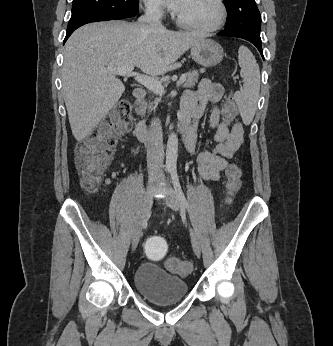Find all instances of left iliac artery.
Segmentation results:
<instances>
[{"instance_id": "obj_1", "label": "left iliac artery", "mask_w": 333, "mask_h": 346, "mask_svg": "<svg viewBox=\"0 0 333 346\" xmlns=\"http://www.w3.org/2000/svg\"><path fill=\"white\" fill-rule=\"evenodd\" d=\"M170 174H171V177H172V182H173V185H174L175 192L177 194V197L179 199V202H180L182 208L187 209L189 211V209H190L189 203L186 200V198L184 196V193L182 191V188H181V185H180V181H179V177H178V174H177V169L176 168H172L170 170Z\"/></svg>"}]
</instances>
